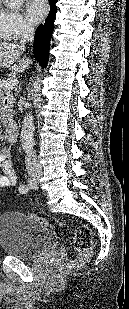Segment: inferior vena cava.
Instances as JSON below:
<instances>
[{"label":"inferior vena cava","mask_w":129,"mask_h":309,"mask_svg":"<svg viewBox=\"0 0 129 309\" xmlns=\"http://www.w3.org/2000/svg\"><path fill=\"white\" fill-rule=\"evenodd\" d=\"M34 27L29 24V23H25L23 25V28H22V37H21V41H20V45L24 47L25 44L29 43V42H33L34 40ZM23 97L20 98V102L23 101ZM30 156V155H29ZM33 156V160H36V156L35 155H32ZM34 168L36 170H40L41 167L39 166V164L36 162L35 165H34Z\"/></svg>","instance_id":"602c4592"}]
</instances>
